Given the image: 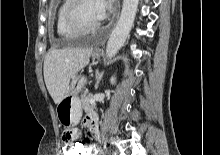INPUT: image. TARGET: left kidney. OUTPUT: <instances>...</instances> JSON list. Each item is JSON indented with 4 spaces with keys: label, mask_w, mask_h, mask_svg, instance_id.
Wrapping results in <instances>:
<instances>
[{
    "label": "left kidney",
    "mask_w": 220,
    "mask_h": 155,
    "mask_svg": "<svg viewBox=\"0 0 220 155\" xmlns=\"http://www.w3.org/2000/svg\"><path fill=\"white\" fill-rule=\"evenodd\" d=\"M110 82L111 84H115V77H111Z\"/></svg>",
    "instance_id": "left-kidney-1"
}]
</instances>
